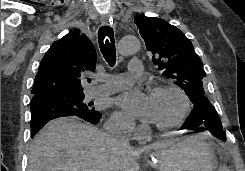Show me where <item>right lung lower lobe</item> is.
Returning <instances> with one entry per match:
<instances>
[{"label":"right lung lower lobe","instance_id":"98d812e1","mask_svg":"<svg viewBox=\"0 0 245 171\" xmlns=\"http://www.w3.org/2000/svg\"><path fill=\"white\" fill-rule=\"evenodd\" d=\"M31 137L50 120L65 117L77 116L92 124L100 122L101 113H86L82 108H76L67 99L55 95H39L31 100Z\"/></svg>","mask_w":245,"mask_h":171}]
</instances>
